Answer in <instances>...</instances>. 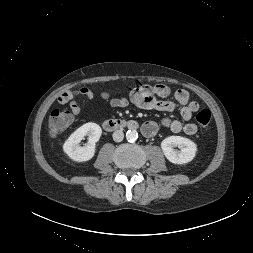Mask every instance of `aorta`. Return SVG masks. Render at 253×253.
I'll return each instance as SVG.
<instances>
[{
	"label": "aorta",
	"instance_id": "762f6f07",
	"mask_svg": "<svg viewBox=\"0 0 253 253\" xmlns=\"http://www.w3.org/2000/svg\"><path fill=\"white\" fill-rule=\"evenodd\" d=\"M126 139L129 141V142H134L138 139V133L136 130H128L126 132Z\"/></svg>",
	"mask_w": 253,
	"mask_h": 253
}]
</instances>
